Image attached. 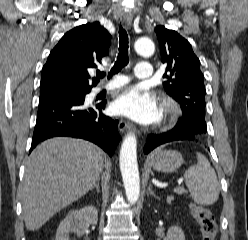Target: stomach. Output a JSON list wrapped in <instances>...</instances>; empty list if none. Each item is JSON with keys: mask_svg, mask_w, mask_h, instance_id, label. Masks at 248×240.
<instances>
[{"mask_svg": "<svg viewBox=\"0 0 248 240\" xmlns=\"http://www.w3.org/2000/svg\"><path fill=\"white\" fill-rule=\"evenodd\" d=\"M149 163L157 171L170 173L182 165L183 158L177 151L159 150L150 155Z\"/></svg>", "mask_w": 248, "mask_h": 240, "instance_id": "obj_1", "label": "stomach"}]
</instances>
